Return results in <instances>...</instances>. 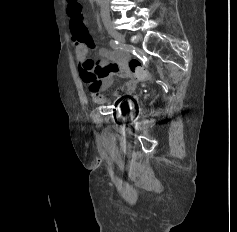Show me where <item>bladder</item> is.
Instances as JSON below:
<instances>
[{"label": "bladder", "instance_id": "31cf9c89", "mask_svg": "<svg viewBox=\"0 0 237 232\" xmlns=\"http://www.w3.org/2000/svg\"><path fill=\"white\" fill-rule=\"evenodd\" d=\"M120 104L123 108L129 109L131 103H129L128 101H122Z\"/></svg>", "mask_w": 237, "mask_h": 232}]
</instances>
